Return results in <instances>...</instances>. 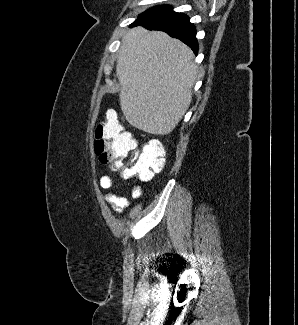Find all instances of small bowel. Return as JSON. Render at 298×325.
Segmentation results:
<instances>
[{"label": "small bowel", "instance_id": "c3829d8e", "mask_svg": "<svg viewBox=\"0 0 298 325\" xmlns=\"http://www.w3.org/2000/svg\"><path fill=\"white\" fill-rule=\"evenodd\" d=\"M99 183L101 188L111 189L114 185V179L105 174L100 177ZM130 193L132 198L138 199L143 195V189L140 185H134L131 188ZM106 201L110 204L115 213H120L123 209H126L129 206L128 199L116 193H108L106 195Z\"/></svg>", "mask_w": 298, "mask_h": 325}]
</instances>
